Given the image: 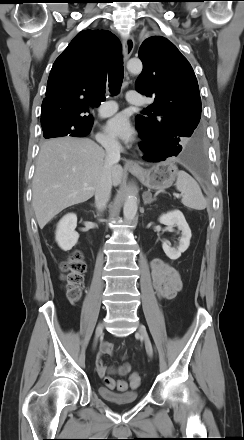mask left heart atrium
I'll list each match as a JSON object with an SVG mask.
<instances>
[{
	"label": "left heart atrium",
	"instance_id": "left-heart-atrium-1",
	"mask_svg": "<svg viewBox=\"0 0 244 440\" xmlns=\"http://www.w3.org/2000/svg\"><path fill=\"white\" fill-rule=\"evenodd\" d=\"M109 135L124 142L133 140L135 131L125 113H118L110 118L105 126Z\"/></svg>",
	"mask_w": 244,
	"mask_h": 440
}]
</instances>
